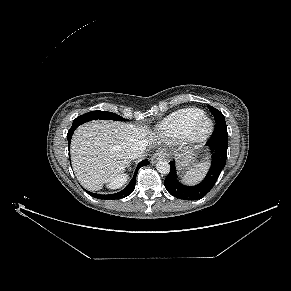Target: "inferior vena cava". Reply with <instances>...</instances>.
<instances>
[{"label":"inferior vena cava","mask_w":291,"mask_h":291,"mask_svg":"<svg viewBox=\"0 0 291 291\" xmlns=\"http://www.w3.org/2000/svg\"><path fill=\"white\" fill-rule=\"evenodd\" d=\"M146 147H147V143L144 141L131 145V147L128 151L130 158L137 159V158L142 157Z\"/></svg>","instance_id":"inferior-vena-cava-1"}]
</instances>
